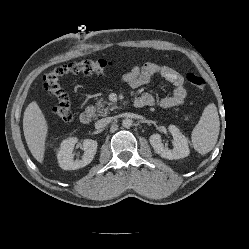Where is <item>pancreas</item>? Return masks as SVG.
Returning a JSON list of instances; mask_svg holds the SVG:
<instances>
[{
  "label": "pancreas",
  "mask_w": 249,
  "mask_h": 249,
  "mask_svg": "<svg viewBox=\"0 0 249 249\" xmlns=\"http://www.w3.org/2000/svg\"><path fill=\"white\" fill-rule=\"evenodd\" d=\"M114 109H117V106L113 104L112 102H107L103 99H100L96 104L95 107H93L94 114L93 116H106L110 113V111H113Z\"/></svg>",
  "instance_id": "1"
}]
</instances>
